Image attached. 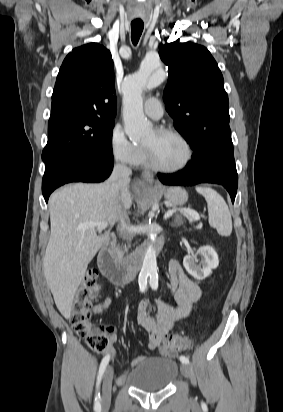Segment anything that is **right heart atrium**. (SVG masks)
Segmentation results:
<instances>
[{
  "instance_id": "obj_1",
  "label": "right heart atrium",
  "mask_w": 283,
  "mask_h": 412,
  "mask_svg": "<svg viewBox=\"0 0 283 412\" xmlns=\"http://www.w3.org/2000/svg\"><path fill=\"white\" fill-rule=\"evenodd\" d=\"M109 148L113 158L124 165L135 164L140 152V147L127 138L121 125H115L112 128Z\"/></svg>"
}]
</instances>
